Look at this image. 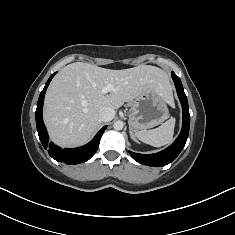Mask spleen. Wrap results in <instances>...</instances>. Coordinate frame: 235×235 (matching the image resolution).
Masks as SVG:
<instances>
[{
  "label": "spleen",
  "instance_id": "1",
  "mask_svg": "<svg viewBox=\"0 0 235 235\" xmlns=\"http://www.w3.org/2000/svg\"><path fill=\"white\" fill-rule=\"evenodd\" d=\"M175 127V118L171 117L161 126L149 131H142L136 133L137 138L151 146L161 147L169 144L173 140Z\"/></svg>",
  "mask_w": 235,
  "mask_h": 235
}]
</instances>
